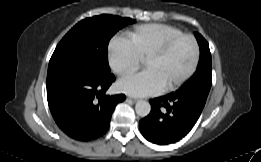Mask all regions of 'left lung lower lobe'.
I'll list each match as a JSON object with an SVG mask.
<instances>
[{"label":"left lung lower lobe","instance_id":"1","mask_svg":"<svg viewBox=\"0 0 261 162\" xmlns=\"http://www.w3.org/2000/svg\"><path fill=\"white\" fill-rule=\"evenodd\" d=\"M209 91L203 85L183 86L150 100L151 112L139 122L142 135L158 145L179 141L197 122Z\"/></svg>","mask_w":261,"mask_h":162}]
</instances>
